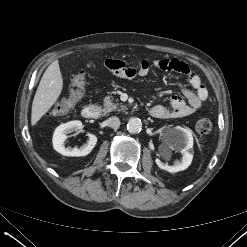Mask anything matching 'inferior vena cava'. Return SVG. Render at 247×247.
Wrapping results in <instances>:
<instances>
[{"label":"inferior vena cava","instance_id":"obj_1","mask_svg":"<svg viewBox=\"0 0 247 247\" xmlns=\"http://www.w3.org/2000/svg\"><path fill=\"white\" fill-rule=\"evenodd\" d=\"M107 121H108V125L113 129H117L120 126V120L116 116L108 118Z\"/></svg>","mask_w":247,"mask_h":247}]
</instances>
